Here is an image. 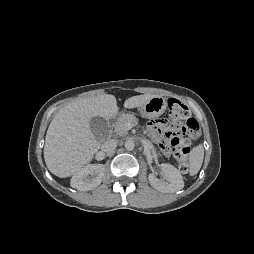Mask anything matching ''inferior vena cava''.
<instances>
[{
	"instance_id": "1",
	"label": "inferior vena cava",
	"mask_w": 254,
	"mask_h": 254,
	"mask_svg": "<svg viewBox=\"0 0 254 254\" xmlns=\"http://www.w3.org/2000/svg\"><path fill=\"white\" fill-rule=\"evenodd\" d=\"M118 142L115 139L107 140L101 147L103 153H111L115 150Z\"/></svg>"
}]
</instances>
